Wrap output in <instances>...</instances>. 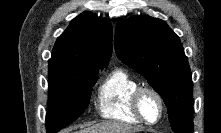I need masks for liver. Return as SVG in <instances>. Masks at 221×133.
<instances>
[{"label":"liver","instance_id":"liver-1","mask_svg":"<svg viewBox=\"0 0 221 133\" xmlns=\"http://www.w3.org/2000/svg\"><path fill=\"white\" fill-rule=\"evenodd\" d=\"M136 128L117 122H102L75 133H135Z\"/></svg>","mask_w":221,"mask_h":133}]
</instances>
